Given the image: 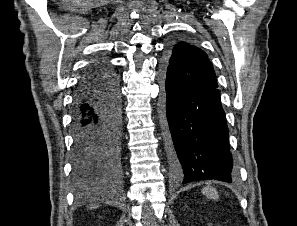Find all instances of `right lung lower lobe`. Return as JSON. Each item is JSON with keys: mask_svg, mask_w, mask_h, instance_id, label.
Here are the masks:
<instances>
[{"mask_svg": "<svg viewBox=\"0 0 297 226\" xmlns=\"http://www.w3.org/2000/svg\"><path fill=\"white\" fill-rule=\"evenodd\" d=\"M121 95L116 72L92 67L74 98V177L81 192L121 179Z\"/></svg>", "mask_w": 297, "mask_h": 226, "instance_id": "98d812e1", "label": "right lung lower lobe"}]
</instances>
